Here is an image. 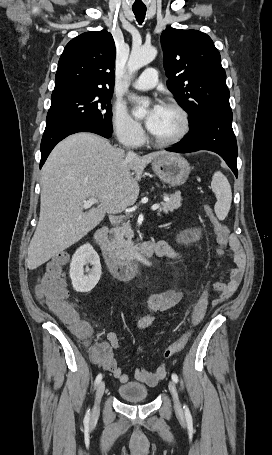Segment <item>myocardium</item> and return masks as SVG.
Wrapping results in <instances>:
<instances>
[{"instance_id":"obj_1","label":"myocardium","mask_w":272,"mask_h":455,"mask_svg":"<svg viewBox=\"0 0 272 455\" xmlns=\"http://www.w3.org/2000/svg\"><path fill=\"white\" fill-rule=\"evenodd\" d=\"M164 106L171 108L178 113L181 120V127L176 135L168 139H160L151 134V141L159 147H169L181 142L190 131V117L181 104L173 100H168L164 103Z\"/></svg>"}]
</instances>
